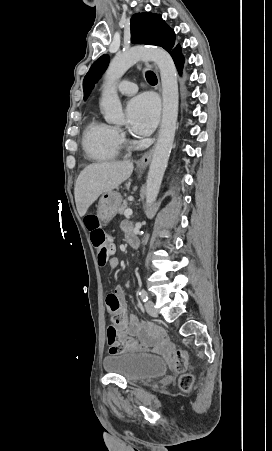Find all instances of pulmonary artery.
Instances as JSON below:
<instances>
[{
	"label": "pulmonary artery",
	"mask_w": 272,
	"mask_h": 451,
	"mask_svg": "<svg viewBox=\"0 0 272 451\" xmlns=\"http://www.w3.org/2000/svg\"><path fill=\"white\" fill-rule=\"evenodd\" d=\"M117 89L121 94L124 95H133L137 92V85L133 82H130L128 80H122L118 85Z\"/></svg>",
	"instance_id": "1"
}]
</instances>
